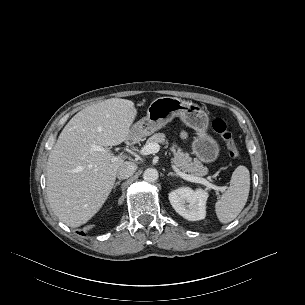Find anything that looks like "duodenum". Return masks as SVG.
<instances>
[{
  "mask_svg": "<svg viewBox=\"0 0 305 305\" xmlns=\"http://www.w3.org/2000/svg\"><path fill=\"white\" fill-rule=\"evenodd\" d=\"M133 141H134V138H133V137H130V138L128 139V142H129V143H133Z\"/></svg>",
  "mask_w": 305,
  "mask_h": 305,
  "instance_id": "obj_1",
  "label": "duodenum"
}]
</instances>
